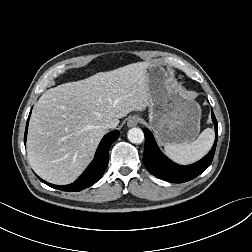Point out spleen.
I'll return each instance as SVG.
<instances>
[{
	"instance_id": "3e777b00",
	"label": "spleen",
	"mask_w": 252,
	"mask_h": 252,
	"mask_svg": "<svg viewBox=\"0 0 252 252\" xmlns=\"http://www.w3.org/2000/svg\"><path fill=\"white\" fill-rule=\"evenodd\" d=\"M214 142V132L207 128L193 142L182 144H166V154L180 164H190L201 159L211 149Z\"/></svg>"
}]
</instances>
